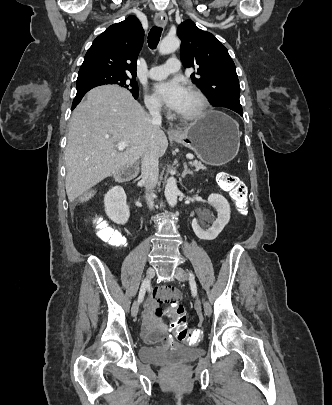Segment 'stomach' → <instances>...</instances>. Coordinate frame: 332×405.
Listing matches in <instances>:
<instances>
[{
  "label": "stomach",
  "mask_w": 332,
  "mask_h": 405,
  "mask_svg": "<svg viewBox=\"0 0 332 405\" xmlns=\"http://www.w3.org/2000/svg\"><path fill=\"white\" fill-rule=\"evenodd\" d=\"M192 150L205 164L219 166L233 160L240 147L237 123L218 111H208L171 137Z\"/></svg>",
  "instance_id": "stomach-1"
}]
</instances>
